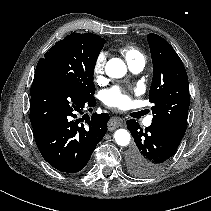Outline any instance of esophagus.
<instances>
[{
	"instance_id": "obj_1",
	"label": "esophagus",
	"mask_w": 211,
	"mask_h": 211,
	"mask_svg": "<svg viewBox=\"0 0 211 211\" xmlns=\"http://www.w3.org/2000/svg\"><path fill=\"white\" fill-rule=\"evenodd\" d=\"M123 125V120L120 117H112L108 122V129L110 131Z\"/></svg>"
}]
</instances>
